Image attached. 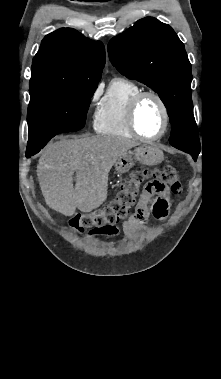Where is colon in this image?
I'll return each instance as SVG.
<instances>
[{"label": "colon", "mask_w": 221, "mask_h": 379, "mask_svg": "<svg viewBox=\"0 0 221 379\" xmlns=\"http://www.w3.org/2000/svg\"><path fill=\"white\" fill-rule=\"evenodd\" d=\"M181 191V182L177 170L172 166H163L154 170L138 169L126 179L116 199L108 206L89 213L74 215L68 223L71 231L82 233H104L115 228L116 224L126 219L135 207L139 196L145 191L163 192Z\"/></svg>", "instance_id": "colon-1"}]
</instances>
